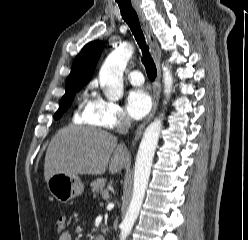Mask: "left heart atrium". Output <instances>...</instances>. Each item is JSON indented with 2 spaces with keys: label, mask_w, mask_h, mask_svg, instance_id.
I'll return each instance as SVG.
<instances>
[{
  "label": "left heart atrium",
  "mask_w": 248,
  "mask_h": 240,
  "mask_svg": "<svg viewBox=\"0 0 248 240\" xmlns=\"http://www.w3.org/2000/svg\"><path fill=\"white\" fill-rule=\"evenodd\" d=\"M152 106L149 94L144 89H134L129 92L126 107L132 119L139 120L148 114Z\"/></svg>",
  "instance_id": "obj_1"
}]
</instances>
